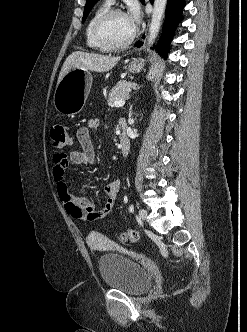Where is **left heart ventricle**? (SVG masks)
Listing matches in <instances>:
<instances>
[{
	"instance_id": "b2bd125f",
	"label": "left heart ventricle",
	"mask_w": 247,
	"mask_h": 332,
	"mask_svg": "<svg viewBox=\"0 0 247 332\" xmlns=\"http://www.w3.org/2000/svg\"><path fill=\"white\" fill-rule=\"evenodd\" d=\"M134 27L125 14L112 16L103 28L105 39L112 44L124 42L133 32Z\"/></svg>"
}]
</instances>
